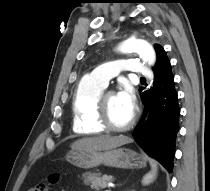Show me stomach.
I'll list each match as a JSON object with an SVG mask.
<instances>
[{
    "instance_id": "stomach-1",
    "label": "stomach",
    "mask_w": 210,
    "mask_h": 191,
    "mask_svg": "<svg viewBox=\"0 0 210 191\" xmlns=\"http://www.w3.org/2000/svg\"><path fill=\"white\" fill-rule=\"evenodd\" d=\"M67 160L83 169H90L99 165L108 167L133 169L146 166V160L137 152L125 148H113L104 151L71 150Z\"/></svg>"
}]
</instances>
